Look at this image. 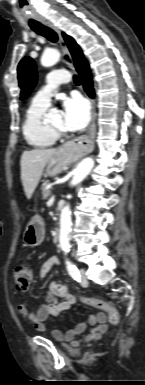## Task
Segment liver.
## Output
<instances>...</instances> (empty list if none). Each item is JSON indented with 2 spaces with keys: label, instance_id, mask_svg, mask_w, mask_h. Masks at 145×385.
<instances>
[{
  "label": "liver",
  "instance_id": "obj_1",
  "mask_svg": "<svg viewBox=\"0 0 145 385\" xmlns=\"http://www.w3.org/2000/svg\"><path fill=\"white\" fill-rule=\"evenodd\" d=\"M58 149H33L24 151L21 160V181L27 198L34 193L44 167Z\"/></svg>",
  "mask_w": 145,
  "mask_h": 385
}]
</instances>
